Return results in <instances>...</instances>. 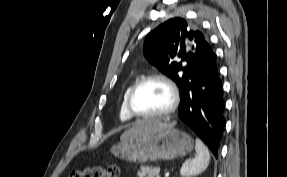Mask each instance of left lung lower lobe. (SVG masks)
<instances>
[{"mask_svg": "<svg viewBox=\"0 0 287 177\" xmlns=\"http://www.w3.org/2000/svg\"><path fill=\"white\" fill-rule=\"evenodd\" d=\"M216 60L217 56L212 51L206 62L184 84L180 92L178 116L218 158L225 118L222 83Z\"/></svg>", "mask_w": 287, "mask_h": 177, "instance_id": "1", "label": "left lung lower lobe"}]
</instances>
